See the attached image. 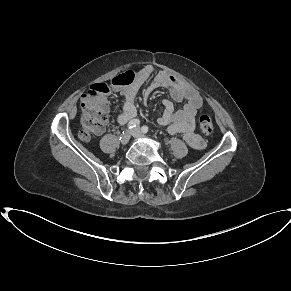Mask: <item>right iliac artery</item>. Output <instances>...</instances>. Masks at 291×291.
Returning a JSON list of instances; mask_svg holds the SVG:
<instances>
[{
  "label": "right iliac artery",
  "mask_w": 291,
  "mask_h": 291,
  "mask_svg": "<svg viewBox=\"0 0 291 291\" xmlns=\"http://www.w3.org/2000/svg\"><path fill=\"white\" fill-rule=\"evenodd\" d=\"M140 125V121H139V119H133V120H131L128 124H127V128L128 129H132V128H135V127H137V126H139ZM124 133V132H123Z\"/></svg>",
  "instance_id": "82829eb1"
}]
</instances>
